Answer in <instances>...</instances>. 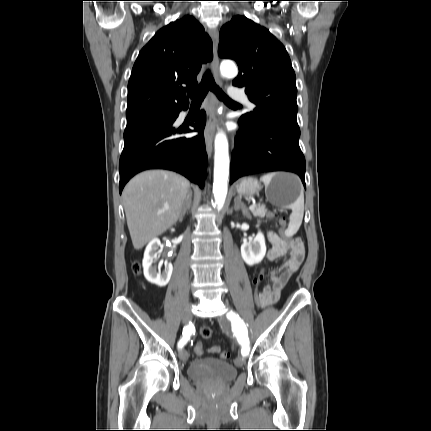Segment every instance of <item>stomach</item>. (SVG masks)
I'll list each match as a JSON object with an SVG mask.
<instances>
[{
  "label": "stomach",
  "mask_w": 431,
  "mask_h": 431,
  "mask_svg": "<svg viewBox=\"0 0 431 431\" xmlns=\"http://www.w3.org/2000/svg\"><path fill=\"white\" fill-rule=\"evenodd\" d=\"M260 190V183L252 177L243 179L236 186V191L240 197H251L258 194ZM301 192L300 181L292 173L277 172L269 184L265 185L267 200L278 207H290L299 198Z\"/></svg>",
  "instance_id": "stomach-1"
}]
</instances>
